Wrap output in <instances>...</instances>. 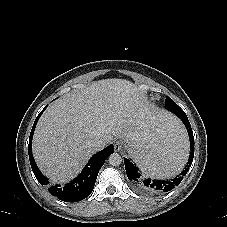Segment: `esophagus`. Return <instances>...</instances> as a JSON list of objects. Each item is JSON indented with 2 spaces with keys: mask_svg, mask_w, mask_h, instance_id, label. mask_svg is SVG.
Instances as JSON below:
<instances>
[{
  "mask_svg": "<svg viewBox=\"0 0 227 227\" xmlns=\"http://www.w3.org/2000/svg\"><path fill=\"white\" fill-rule=\"evenodd\" d=\"M121 148H122V144L119 141L115 142L114 144L115 151H120Z\"/></svg>",
  "mask_w": 227,
  "mask_h": 227,
  "instance_id": "obj_1",
  "label": "esophagus"
}]
</instances>
